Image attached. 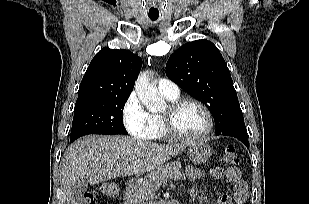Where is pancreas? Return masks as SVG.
Returning a JSON list of instances; mask_svg holds the SVG:
<instances>
[{
    "label": "pancreas",
    "instance_id": "1",
    "mask_svg": "<svg viewBox=\"0 0 309 204\" xmlns=\"http://www.w3.org/2000/svg\"><path fill=\"white\" fill-rule=\"evenodd\" d=\"M185 180L181 166L177 164H166L156 168L146 175L138 184L134 192V199L139 204H147L153 199L160 185L168 180Z\"/></svg>",
    "mask_w": 309,
    "mask_h": 204
}]
</instances>
